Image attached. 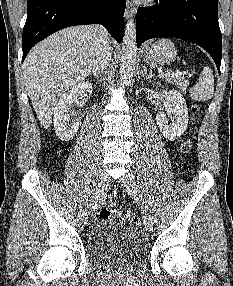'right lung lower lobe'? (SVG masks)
Here are the masks:
<instances>
[{
    "label": "right lung lower lobe",
    "mask_w": 233,
    "mask_h": 286,
    "mask_svg": "<svg viewBox=\"0 0 233 286\" xmlns=\"http://www.w3.org/2000/svg\"><path fill=\"white\" fill-rule=\"evenodd\" d=\"M125 6V0H27L22 61L36 43L74 25L102 24L120 43L125 27Z\"/></svg>",
    "instance_id": "right-lung-lower-lobe-1"
}]
</instances>
